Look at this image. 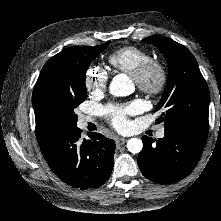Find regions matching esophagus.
Wrapping results in <instances>:
<instances>
[{"label":"esophagus","instance_id":"obj_1","mask_svg":"<svg viewBox=\"0 0 221 221\" xmlns=\"http://www.w3.org/2000/svg\"><path fill=\"white\" fill-rule=\"evenodd\" d=\"M115 143H116L117 147H120V146H122V145H124L126 143V139H124V138H117Z\"/></svg>","mask_w":221,"mask_h":221}]
</instances>
